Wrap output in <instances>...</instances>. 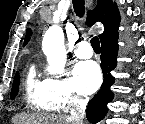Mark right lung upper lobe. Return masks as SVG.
Instances as JSON below:
<instances>
[{
  "instance_id": "right-lung-upper-lobe-1",
  "label": "right lung upper lobe",
  "mask_w": 145,
  "mask_h": 124,
  "mask_svg": "<svg viewBox=\"0 0 145 124\" xmlns=\"http://www.w3.org/2000/svg\"><path fill=\"white\" fill-rule=\"evenodd\" d=\"M95 22H101L104 26V32L99 35L100 40L118 30L120 16L117 6L112 0H98L95 9L88 12L86 24L91 26ZM31 35L30 29L27 30L24 45L29 41Z\"/></svg>"
}]
</instances>
